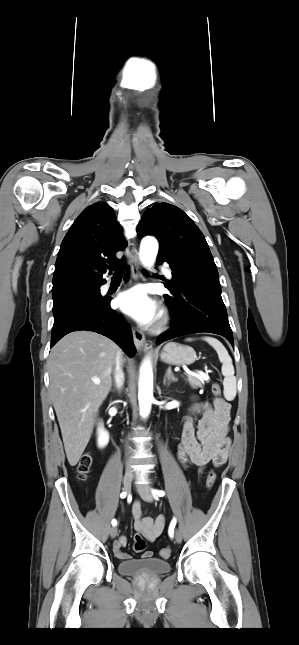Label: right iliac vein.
<instances>
[{
	"label": "right iliac vein",
	"mask_w": 299,
	"mask_h": 645,
	"mask_svg": "<svg viewBox=\"0 0 299 645\" xmlns=\"http://www.w3.org/2000/svg\"><path fill=\"white\" fill-rule=\"evenodd\" d=\"M133 481V474L132 473H126L123 478V485H124V490L129 492L131 489V484ZM118 535V528L116 526L112 527L110 529V536L111 538H116Z\"/></svg>",
	"instance_id": "1"
}]
</instances>
